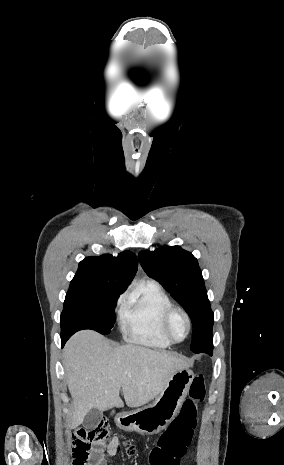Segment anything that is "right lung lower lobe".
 <instances>
[{
	"instance_id": "1",
	"label": "right lung lower lobe",
	"mask_w": 284,
	"mask_h": 465,
	"mask_svg": "<svg viewBox=\"0 0 284 465\" xmlns=\"http://www.w3.org/2000/svg\"><path fill=\"white\" fill-rule=\"evenodd\" d=\"M70 337H71V336H64V337H61L62 347H64L65 343L67 342V340H68Z\"/></svg>"
}]
</instances>
